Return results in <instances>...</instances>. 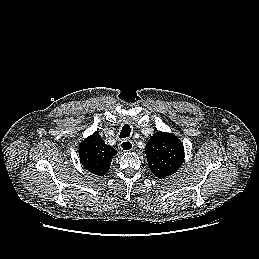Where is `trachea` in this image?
Returning <instances> with one entry per match:
<instances>
[{
	"instance_id": "trachea-1",
	"label": "trachea",
	"mask_w": 259,
	"mask_h": 259,
	"mask_svg": "<svg viewBox=\"0 0 259 259\" xmlns=\"http://www.w3.org/2000/svg\"><path fill=\"white\" fill-rule=\"evenodd\" d=\"M130 133H131V128L128 124H125L123 127H122V130L119 134V138H127L130 136Z\"/></svg>"
}]
</instances>
